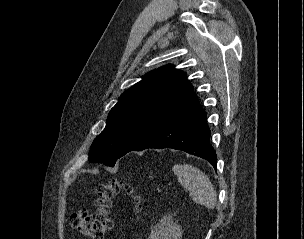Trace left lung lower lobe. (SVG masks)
Returning <instances> with one entry per match:
<instances>
[{
	"mask_svg": "<svg viewBox=\"0 0 304 239\" xmlns=\"http://www.w3.org/2000/svg\"><path fill=\"white\" fill-rule=\"evenodd\" d=\"M209 137L206 113L197 100L153 131L131 151L148 148L182 150L209 161L216 169V153L210 145Z\"/></svg>",
	"mask_w": 304,
	"mask_h": 239,
	"instance_id": "0a47b994",
	"label": "left lung lower lobe"
}]
</instances>
